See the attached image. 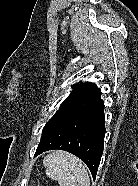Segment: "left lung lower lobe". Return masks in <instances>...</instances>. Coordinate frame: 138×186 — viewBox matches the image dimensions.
Masks as SVG:
<instances>
[{"mask_svg": "<svg viewBox=\"0 0 138 186\" xmlns=\"http://www.w3.org/2000/svg\"><path fill=\"white\" fill-rule=\"evenodd\" d=\"M99 88L61 116L43 134L35 156L60 149L79 157L95 179L103 154L104 101Z\"/></svg>", "mask_w": 138, "mask_h": 186, "instance_id": "0a47b994", "label": "left lung lower lobe"}]
</instances>
